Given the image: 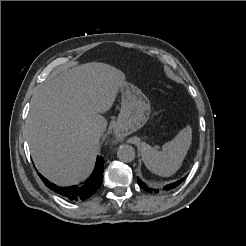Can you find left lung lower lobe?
<instances>
[{
    "label": "left lung lower lobe",
    "instance_id": "left-lung-lower-lobe-1",
    "mask_svg": "<svg viewBox=\"0 0 246 246\" xmlns=\"http://www.w3.org/2000/svg\"><path fill=\"white\" fill-rule=\"evenodd\" d=\"M185 180V178H182V179H180V180H178V181H176V182H174V183H172V184H168V185H166L165 187H164V189L166 190V191H169V190H171V189H173V188H175V187H177L182 181H184ZM137 182H138V184H139V186L142 188V189H144L145 191H147V192H150V193H152V192H154V193H158L159 192V189H152V188H149L144 182H142L141 181V179H137Z\"/></svg>",
    "mask_w": 246,
    "mask_h": 246
}]
</instances>
